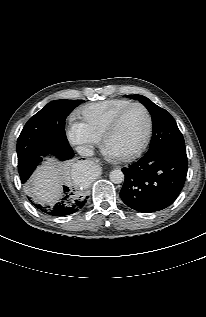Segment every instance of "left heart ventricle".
<instances>
[{"mask_svg": "<svg viewBox=\"0 0 206 317\" xmlns=\"http://www.w3.org/2000/svg\"><path fill=\"white\" fill-rule=\"evenodd\" d=\"M146 115L142 108H132L107 141V148L115 155H124L137 149L145 136Z\"/></svg>", "mask_w": 206, "mask_h": 317, "instance_id": "1", "label": "left heart ventricle"}]
</instances>
